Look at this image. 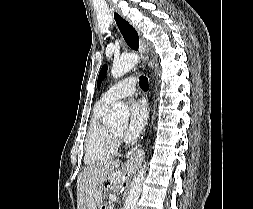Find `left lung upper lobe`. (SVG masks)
Wrapping results in <instances>:
<instances>
[{
	"instance_id": "left-lung-upper-lobe-1",
	"label": "left lung upper lobe",
	"mask_w": 253,
	"mask_h": 209,
	"mask_svg": "<svg viewBox=\"0 0 253 209\" xmlns=\"http://www.w3.org/2000/svg\"><path fill=\"white\" fill-rule=\"evenodd\" d=\"M107 72V65H104L99 73L98 81H97V87L100 88L101 83L106 75Z\"/></svg>"
}]
</instances>
